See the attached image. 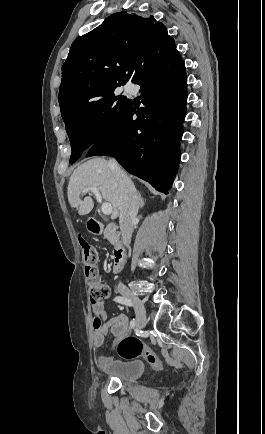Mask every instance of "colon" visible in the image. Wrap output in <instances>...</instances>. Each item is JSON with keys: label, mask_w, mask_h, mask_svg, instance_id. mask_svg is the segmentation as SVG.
<instances>
[{"label": "colon", "mask_w": 265, "mask_h": 434, "mask_svg": "<svg viewBox=\"0 0 265 434\" xmlns=\"http://www.w3.org/2000/svg\"><path fill=\"white\" fill-rule=\"evenodd\" d=\"M78 243L85 265V278L90 301L93 304L102 303L109 298L111 291L109 285L101 278L98 250L82 235L78 236ZM93 324L95 327H102L104 321L102 318H95ZM115 349L118 355L125 361H135L143 357L155 369H162L164 366L163 362L147 345L134 336H126L118 343Z\"/></svg>", "instance_id": "1"}]
</instances>
